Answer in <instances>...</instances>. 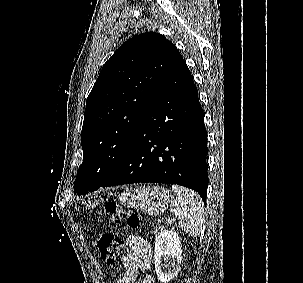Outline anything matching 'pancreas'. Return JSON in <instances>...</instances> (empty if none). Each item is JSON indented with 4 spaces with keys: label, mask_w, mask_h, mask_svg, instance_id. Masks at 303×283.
<instances>
[{
    "label": "pancreas",
    "mask_w": 303,
    "mask_h": 283,
    "mask_svg": "<svg viewBox=\"0 0 303 283\" xmlns=\"http://www.w3.org/2000/svg\"><path fill=\"white\" fill-rule=\"evenodd\" d=\"M163 227H155L154 228V233L159 234L160 232H162Z\"/></svg>",
    "instance_id": "cf45deb5"
}]
</instances>
